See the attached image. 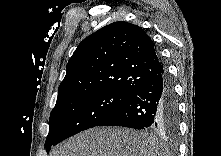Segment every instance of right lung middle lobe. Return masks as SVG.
I'll return each instance as SVG.
<instances>
[{"instance_id": "right-lung-middle-lobe-1", "label": "right lung middle lobe", "mask_w": 221, "mask_h": 156, "mask_svg": "<svg viewBox=\"0 0 221 156\" xmlns=\"http://www.w3.org/2000/svg\"><path fill=\"white\" fill-rule=\"evenodd\" d=\"M130 95L116 92H97L56 104L50 114L47 152L66 138L98 126L119 108Z\"/></svg>"}]
</instances>
